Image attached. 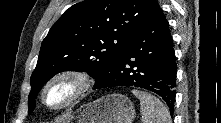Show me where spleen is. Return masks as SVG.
Segmentation results:
<instances>
[{
	"label": "spleen",
	"instance_id": "obj_1",
	"mask_svg": "<svg viewBox=\"0 0 221 123\" xmlns=\"http://www.w3.org/2000/svg\"><path fill=\"white\" fill-rule=\"evenodd\" d=\"M140 100L143 123H172L168 108L155 96L140 90H132Z\"/></svg>",
	"mask_w": 221,
	"mask_h": 123
}]
</instances>
